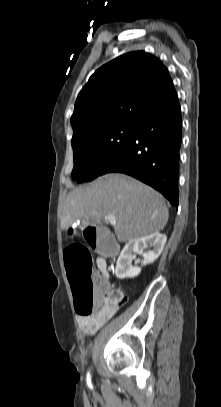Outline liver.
<instances>
[{
	"mask_svg": "<svg viewBox=\"0 0 221 407\" xmlns=\"http://www.w3.org/2000/svg\"><path fill=\"white\" fill-rule=\"evenodd\" d=\"M109 214L115 216V222L105 218ZM168 217L158 192L127 175L110 173L67 195L61 225L67 228L76 220L92 226L104 222L114 227L120 242H127L159 233Z\"/></svg>",
	"mask_w": 221,
	"mask_h": 407,
	"instance_id": "obj_1",
	"label": "liver"
}]
</instances>
